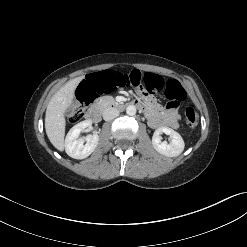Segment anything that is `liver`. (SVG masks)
Returning <instances> with one entry per match:
<instances>
[{"label": "liver", "instance_id": "6515ba94", "mask_svg": "<svg viewBox=\"0 0 247 247\" xmlns=\"http://www.w3.org/2000/svg\"><path fill=\"white\" fill-rule=\"evenodd\" d=\"M81 77L68 81L51 98L45 115V130L52 145L59 151L64 150L65 112L71 105Z\"/></svg>", "mask_w": 247, "mask_h": 247}]
</instances>
